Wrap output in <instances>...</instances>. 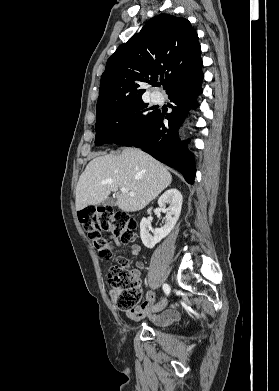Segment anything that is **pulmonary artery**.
<instances>
[{
    "mask_svg": "<svg viewBox=\"0 0 279 391\" xmlns=\"http://www.w3.org/2000/svg\"><path fill=\"white\" fill-rule=\"evenodd\" d=\"M151 98L154 103H161L163 101V96L159 93H152Z\"/></svg>",
    "mask_w": 279,
    "mask_h": 391,
    "instance_id": "pulmonary-artery-1",
    "label": "pulmonary artery"
}]
</instances>
